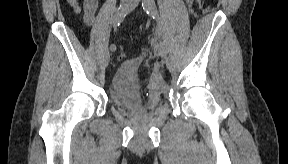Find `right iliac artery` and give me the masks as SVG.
<instances>
[{
  "instance_id": "right-iliac-artery-1",
  "label": "right iliac artery",
  "mask_w": 288,
  "mask_h": 164,
  "mask_svg": "<svg viewBox=\"0 0 288 164\" xmlns=\"http://www.w3.org/2000/svg\"><path fill=\"white\" fill-rule=\"evenodd\" d=\"M126 16V13L123 11V10H119L114 18V22H113V27H114V30L117 29V27L122 23V21L124 20ZM110 50L112 52H115L116 50V45L115 44H111L110 45Z\"/></svg>"
}]
</instances>
